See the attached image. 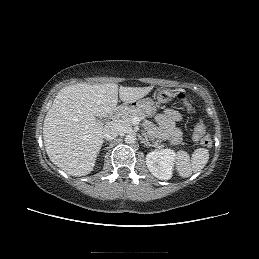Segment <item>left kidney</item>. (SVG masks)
<instances>
[{"mask_svg":"<svg viewBox=\"0 0 259 259\" xmlns=\"http://www.w3.org/2000/svg\"><path fill=\"white\" fill-rule=\"evenodd\" d=\"M175 157L171 149L155 150L146 155V165L156 178L168 180L172 177Z\"/></svg>","mask_w":259,"mask_h":259,"instance_id":"obj_1","label":"left kidney"}]
</instances>
